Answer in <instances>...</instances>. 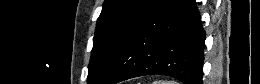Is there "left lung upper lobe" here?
I'll return each instance as SVG.
<instances>
[{
	"mask_svg": "<svg viewBox=\"0 0 260 84\" xmlns=\"http://www.w3.org/2000/svg\"><path fill=\"white\" fill-rule=\"evenodd\" d=\"M158 0H105L97 21L87 77L102 84Z\"/></svg>",
	"mask_w": 260,
	"mask_h": 84,
	"instance_id": "1",
	"label": "left lung upper lobe"
}]
</instances>
